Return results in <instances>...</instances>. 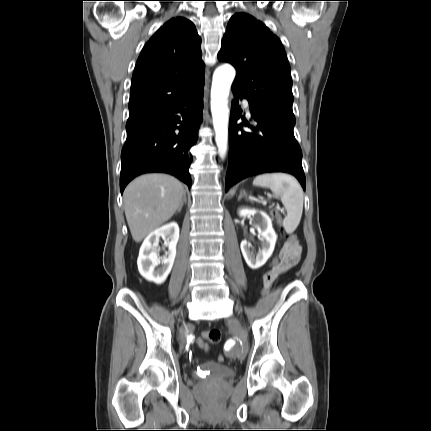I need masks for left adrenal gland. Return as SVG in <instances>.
<instances>
[{"label":"left adrenal gland","mask_w":431,"mask_h":431,"mask_svg":"<svg viewBox=\"0 0 431 431\" xmlns=\"http://www.w3.org/2000/svg\"><path fill=\"white\" fill-rule=\"evenodd\" d=\"M248 198V196H247V194H246V192L244 191V190H242L241 192H240V195H239V197H238V200H240L241 198Z\"/></svg>","instance_id":"1"}]
</instances>
